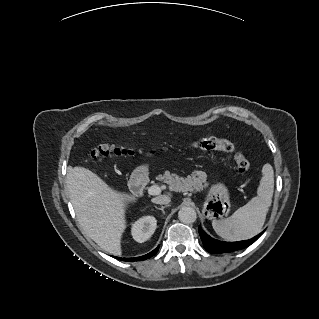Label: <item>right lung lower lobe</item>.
Listing matches in <instances>:
<instances>
[{"label": "right lung lower lobe", "mask_w": 319, "mask_h": 319, "mask_svg": "<svg viewBox=\"0 0 319 319\" xmlns=\"http://www.w3.org/2000/svg\"><path fill=\"white\" fill-rule=\"evenodd\" d=\"M160 248V245H158L153 251H151L150 253L140 256V257H135V258H120V257H114L116 259L119 260H123V261H142V260H146L152 256H154L157 252L158 249Z\"/></svg>", "instance_id": "right-lung-lower-lobe-1"}]
</instances>
